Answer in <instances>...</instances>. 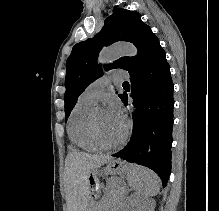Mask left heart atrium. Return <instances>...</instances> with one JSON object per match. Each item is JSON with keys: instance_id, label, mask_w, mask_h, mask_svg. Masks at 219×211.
I'll list each match as a JSON object with an SVG mask.
<instances>
[{"instance_id": "1", "label": "left heart atrium", "mask_w": 219, "mask_h": 211, "mask_svg": "<svg viewBox=\"0 0 219 211\" xmlns=\"http://www.w3.org/2000/svg\"><path fill=\"white\" fill-rule=\"evenodd\" d=\"M106 109L116 124L125 127V117L123 114V108L118 99H110L108 107Z\"/></svg>"}]
</instances>
